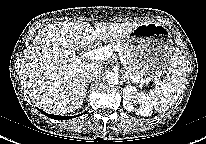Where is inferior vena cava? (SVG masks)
<instances>
[{
  "label": "inferior vena cava",
  "mask_w": 206,
  "mask_h": 144,
  "mask_svg": "<svg viewBox=\"0 0 206 144\" xmlns=\"http://www.w3.org/2000/svg\"><path fill=\"white\" fill-rule=\"evenodd\" d=\"M102 71V67L98 64H90L85 73L87 80H94L99 77Z\"/></svg>",
  "instance_id": "obj_1"
}]
</instances>
